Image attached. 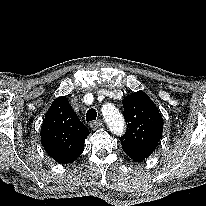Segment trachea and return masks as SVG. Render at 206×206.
I'll list each match as a JSON object with an SVG mask.
<instances>
[{"label": "trachea", "mask_w": 206, "mask_h": 206, "mask_svg": "<svg viewBox=\"0 0 206 206\" xmlns=\"http://www.w3.org/2000/svg\"><path fill=\"white\" fill-rule=\"evenodd\" d=\"M97 118V112L95 109L91 108L87 111L86 120L87 122L94 121Z\"/></svg>", "instance_id": "3493384b"}]
</instances>
